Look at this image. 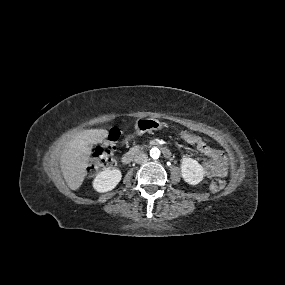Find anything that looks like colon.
Here are the masks:
<instances>
[{
	"mask_svg": "<svg viewBox=\"0 0 285 285\" xmlns=\"http://www.w3.org/2000/svg\"><path fill=\"white\" fill-rule=\"evenodd\" d=\"M118 135L111 133L105 144L96 147L91 162L88 167V174H93L96 171L104 168H109L114 165V159L112 157L114 143L117 141ZM182 139L191 147L200 149L203 147L204 142L191 132L185 131L182 133ZM225 186V181L221 178H217L212 181L210 189L213 192L221 191Z\"/></svg>",
	"mask_w": 285,
	"mask_h": 285,
	"instance_id": "obj_1",
	"label": "colon"
}]
</instances>
